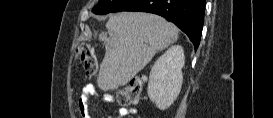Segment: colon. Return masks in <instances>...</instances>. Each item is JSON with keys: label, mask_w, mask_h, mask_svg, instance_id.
Listing matches in <instances>:
<instances>
[{"label": "colon", "mask_w": 273, "mask_h": 118, "mask_svg": "<svg viewBox=\"0 0 273 118\" xmlns=\"http://www.w3.org/2000/svg\"><path fill=\"white\" fill-rule=\"evenodd\" d=\"M77 55L83 61L86 76L93 78L98 70V61L92 46L87 42L80 43ZM142 85V79H135L129 85L121 87L116 94L118 103L125 107L136 104L140 99Z\"/></svg>", "instance_id": "colon-1"}]
</instances>
